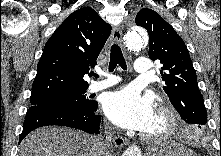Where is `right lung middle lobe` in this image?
I'll use <instances>...</instances> for the list:
<instances>
[{
  "instance_id": "obj_1",
  "label": "right lung middle lobe",
  "mask_w": 221,
  "mask_h": 156,
  "mask_svg": "<svg viewBox=\"0 0 221 156\" xmlns=\"http://www.w3.org/2000/svg\"><path fill=\"white\" fill-rule=\"evenodd\" d=\"M85 93L86 89L31 99V105L48 108L91 109L97 102L89 100Z\"/></svg>"
}]
</instances>
